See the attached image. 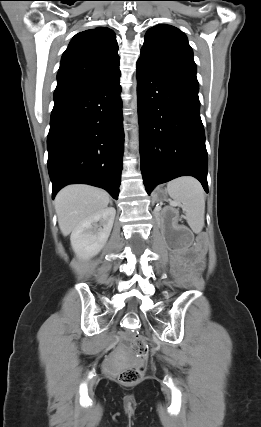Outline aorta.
<instances>
[{
    "instance_id": "aorta-1",
    "label": "aorta",
    "mask_w": 261,
    "mask_h": 427,
    "mask_svg": "<svg viewBox=\"0 0 261 427\" xmlns=\"http://www.w3.org/2000/svg\"><path fill=\"white\" fill-rule=\"evenodd\" d=\"M131 107L134 110V115L132 117V124L133 126V130H132V148L134 150H137L138 148V130L136 127V124L138 123V116H137V84L135 83L133 86V99L131 101Z\"/></svg>"
}]
</instances>
